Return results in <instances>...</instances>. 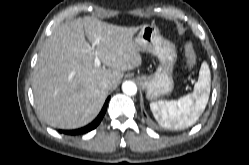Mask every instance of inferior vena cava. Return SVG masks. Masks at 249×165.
<instances>
[{
  "instance_id": "inferior-vena-cava-1",
  "label": "inferior vena cava",
  "mask_w": 249,
  "mask_h": 165,
  "mask_svg": "<svg viewBox=\"0 0 249 165\" xmlns=\"http://www.w3.org/2000/svg\"><path fill=\"white\" fill-rule=\"evenodd\" d=\"M101 86L104 88V89H110L112 87V82L108 79H104L102 82H101Z\"/></svg>"
}]
</instances>
